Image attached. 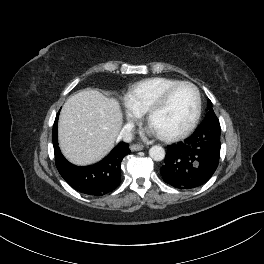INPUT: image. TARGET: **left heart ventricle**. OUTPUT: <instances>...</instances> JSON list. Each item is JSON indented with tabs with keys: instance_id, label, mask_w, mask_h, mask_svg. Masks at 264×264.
Here are the masks:
<instances>
[{
	"instance_id": "b2bd125f",
	"label": "left heart ventricle",
	"mask_w": 264,
	"mask_h": 264,
	"mask_svg": "<svg viewBox=\"0 0 264 264\" xmlns=\"http://www.w3.org/2000/svg\"><path fill=\"white\" fill-rule=\"evenodd\" d=\"M196 107L194 90L187 85L178 87L167 104L156 112L150 127L158 134H173L184 129L190 122Z\"/></svg>"
}]
</instances>
